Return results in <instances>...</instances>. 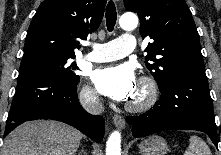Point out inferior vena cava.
<instances>
[{
  "mask_svg": "<svg viewBox=\"0 0 221 155\" xmlns=\"http://www.w3.org/2000/svg\"><path fill=\"white\" fill-rule=\"evenodd\" d=\"M80 103L92 114H101L104 112L103 104L99 100V96L94 91H86L80 95Z\"/></svg>",
  "mask_w": 221,
  "mask_h": 155,
  "instance_id": "inferior-vena-cava-1",
  "label": "inferior vena cava"
}]
</instances>
